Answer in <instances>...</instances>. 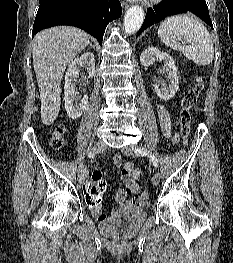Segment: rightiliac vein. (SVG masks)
<instances>
[{
	"mask_svg": "<svg viewBox=\"0 0 233 263\" xmlns=\"http://www.w3.org/2000/svg\"><path fill=\"white\" fill-rule=\"evenodd\" d=\"M106 147H107L106 144L103 141L99 140L94 144L92 148V153L96 154V153L103 152L106 149ZM86 174L87 173H86L84 164L81 163L78 168V173H77L79 183H83L85 181Z\"/></svg>",
	"mask_w": 233,
	"mask_h": 263,
	"instance_id": "1",
	"label": "right iliac vein"
}]
</instances>
